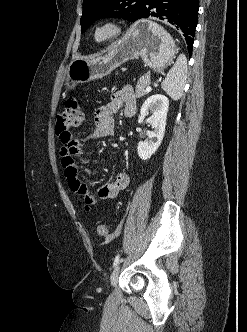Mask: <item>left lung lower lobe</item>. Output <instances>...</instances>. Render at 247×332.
I'll return each instance as SVG.
<instances>
[{"instance_id": "1", "label": "left lung lower lobe", "mask_w": 247, "mask_h": 332, "mask_svg": "<svg viewBox=\"0 0 247 332\" xmlns=\"http://www.w3.org/2000/svg\"><path fill=\"white\" fill-rule=\"evenodd\" d=\"M199 0H147L140 18L156 17L183 32L189 52L192 51L198 22Z\"/></svg>"}]
</instances>
